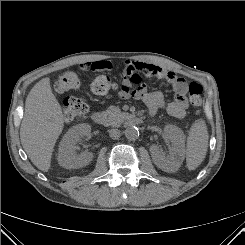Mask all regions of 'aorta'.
<instances>
[{
  "instance_id": "762f6f07",
  "label": "aorta",
  "mask_w": 245,
  "mask_h": 245,
  "mask_svg": "<svg viewBox=\"0 0 245 245\" xmlns=\"http://www.w3.org/2000/svg\"><path fill=\"white\" fill-rule=\"evenodd\" d=\"M124 134L128 140H136L139 137L138 128L135 126H128L125 129Z\"/></svg>"
}]
</instances>
